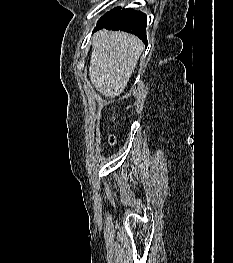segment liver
I'll return each mask as SVG.
<instances>
[{
    "label": "liver",
    "mask_w": 233,
    "mask_h": 263,
    "mask_svg": "<svg viewBox=\"0 0 233 263\" xmlns=\"http://www.w3.org/2000/svg\"><path fill=\"white\" fill-rule=\"evenodd\" d=\"M143 49V43L133 35L107 30L98 32L93 38L89 66V77L96 90L105 97L120 96Z\"/></svg>",
    "instance_id": "obj_1"
}]
</instances>
